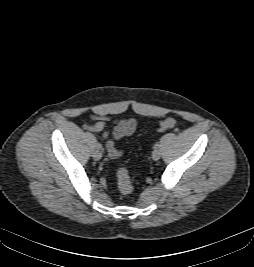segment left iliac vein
I'll list each match as a JSON object with an SVG mask.
<instances>
[{
  "mask_svg": "<svg viewBox=\"0 0 254 267\" xmlns=\"http://www.w3.org/2000/svg\"><path fill=\"white\" fill-rule=\"evenodd\" d=\"M161 157V152L159 149H155L153 152H152V158L153 160H159Z\"/></svg>",
  "mask_w": 254,
  "mask_h": 267,
  "instance_id": "1",
  "label": "left iliac vein"
}]
</instances>
